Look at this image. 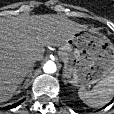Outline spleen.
<instances>
[{
    "instance_id": "obj_1",
    "label": "spleen",
    "mask_w": 114,
    "mask_h": 114,
    "mask_svg": "<svg viewBox=\"0 0 114 114\" xmlns=\"http://www.w3.org/2000/svg\"><path fill=\"white\" fill-rule=\"evenodd\" d=\"M78 95L89 107L97 108L106 105L114 95V71L101 79L91 90L81 87Z\"/></svg>"
}]
</instances>
